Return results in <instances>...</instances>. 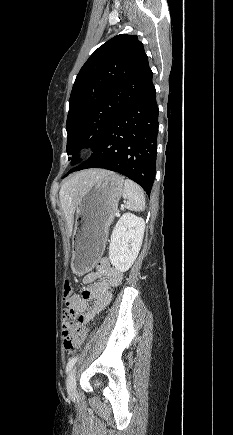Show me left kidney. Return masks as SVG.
Masks as SVG:
<instances>
[{"label":"left kidney","mask_w":233,"mask_h":435,"mask_svg":"<svg viewBox=\"0 0 233 435\" xmlns=\"http://www.w3.org/2000/svg\"><path fill=\"white\" fill-rule=\"evenodd\" d=\"M144 229V219L132 213H125L118 220L109 246V259L117 270H129L136 260L142 245Z\"/></svg>","instance_id":"1"}]
</instances>
